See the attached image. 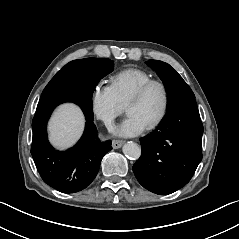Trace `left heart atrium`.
<instances>
[{
    "mask_svg": "<svg viewBox=\"0 0 239 239\" xmlns=\"http://www.w3.org/2000/svg\"><path fill=\"white\" fill-rule=\"evenodd\" d=\"M145 123L134 114H128L123 123L116 128V133L121 136H134L143 132Z\"/></svg>",
    "mask_w": 239,
    "mask_h": 239,
    "instance_id": "1",
    "label": "left heart atrium"
}]
</instances>
